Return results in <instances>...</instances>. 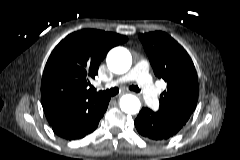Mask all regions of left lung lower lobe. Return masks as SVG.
I'll return each instance as SVG.
<instances>
[{"instance_id": "obj_1", "label": "left lung lower lobe", "mask_w": 240, "mask_h": 160, "mask_svg": "<svg viewBox=\"0 0 240 160\" xmlns=\"http://www.w3.org/2000/svg\"><path fill=\"white\" fill-rule=\"evenodd\" d=\"M134 124L138 133L151 141H166L183 127L161 112L149 108H142Z\"/></svg>"}]
</instances>
